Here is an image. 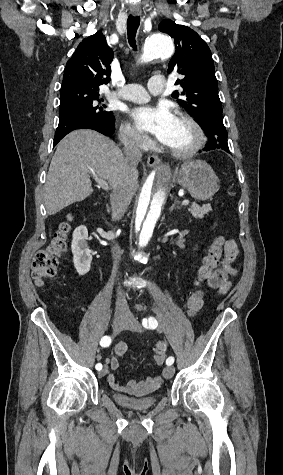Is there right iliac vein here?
I'll use <instances>...</instances> for the list:
<instances>
[{
    "mask_svg": "<svg viewBox=\"0 0 283 475\" xmlns=\"http://www.w3.org/2000/svg\"><path fill=\"white\" fill-rule=\"evenodd\" d=\"M126 321H127V315L125 313L116 314L115 317L113 318V329H114V331H116V332L121 331L124 328ZM106 373H107V367H104L99 372V376L100 377L105 376Z\"/></svg>",
    "mask_w": 283,
    "mask_h": 475,
    "instance_id": "1",
    "label": "right iliac vein"
}]
</instances>
